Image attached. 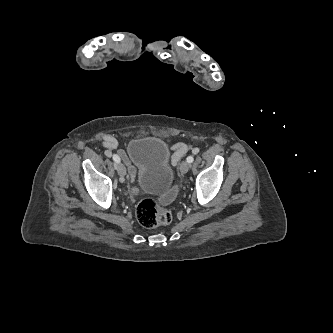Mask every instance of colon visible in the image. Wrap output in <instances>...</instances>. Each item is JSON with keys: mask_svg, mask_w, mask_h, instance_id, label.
Instances as JSON below:
<instances>
[{"mask_svg": "<svg viewBox=\"0 0 333 333\" xmlns=\"http://www.w3.org/2000/svg\"><path fill=\"white\" fill-rule=\"evenodd\" d=\"M136 217L138 222L146 228L164 225L171 221L170 212L153 198H144L138 203Z\"/></svg>", "mask_w": 333, "mask_h": 333, "instance_id": "5ec220e1", "label": "colon"}]
</instances>
